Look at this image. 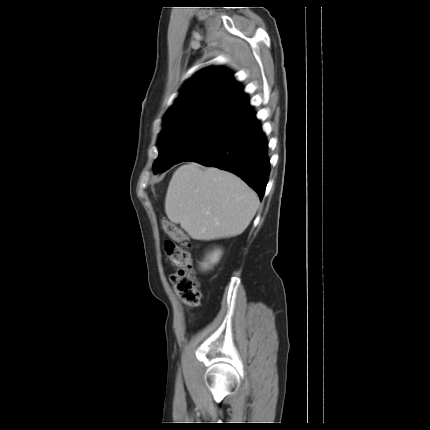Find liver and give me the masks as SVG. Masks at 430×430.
Instances as JSON below:
<instances>
[{"label":"liver","instance_id":"1","mask_svg":"<svg viewBox=\"0 0 430 430\" xmlns=\"http://www.w3.org/2000/svg\"><path fill=\"white\" fill-rule=\"evenodd\" d=\"M258 206L257 194L241 178L196 162L175 171L165 198L169 220L195 240L240 235Z\"/></svg>","mask_w":430,"mask_h":430}]
</instances>
